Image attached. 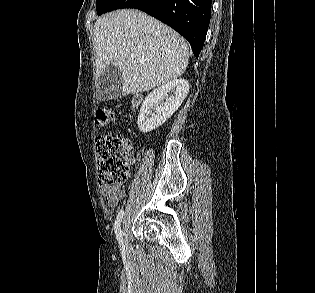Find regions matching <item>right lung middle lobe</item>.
I'll list each match as a JSON object with an SVG mask.
<instances>
[{
  "mask_svg": "<svg viewBox=\"0 0 315 293\" xmlns=\"http://www.w3.org/2000/svg\"><path fill=\"white\" fill-rule=\"evenodd\" d=\"M114 0H96V10L98 15H102L106 12V9Z\"/></svg>",
  "mask_w": 315,
  "mask_h": 293,
  "instance_id": "dd1d6c3e",
  "label": "right lung middle lobe"
}]
</instances>
